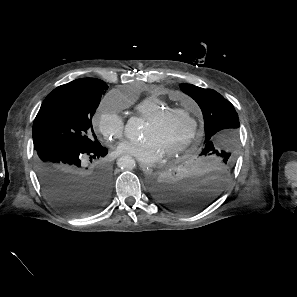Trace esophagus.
Returning a JSON list of instances; mask_svg holds the SVG:
<instances>
[{
  "label": "esophagus",
  "instance_id": "34e87169",
  "mask_svg": "<svg viewBox=\"0 0 297 297\" xmlns=\"http://www.w3.org/2000/svg\"><path fill=\"white\" fill-rule=\"evenodd\" d=\"M139 166H140V168L142 169V171H143L144 173L149 174V173L152 172V168H151L150 166H148L147 164L140 163Z\"/></svg>",
  "mask_w": 297,
  "mask_h": 297
}]
</instances>
